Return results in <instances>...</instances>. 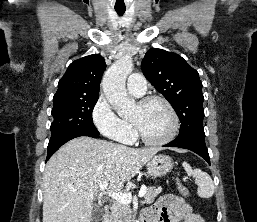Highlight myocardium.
<instances>
[{
    "label": "myocardium",
    "mask_w": 257,
    "mask_h": 222,
    "mask_svg": "<svg viewBox=\"0 0 257 222\" xmlns=\"http://www.w3.org/2000/svg\"><path fill=\"white\" fill-rule=\"evenodd\" d=\"M152 102H160L162 103L170 113L171 119H172V127L170 132L163 138L157 139V140H151L146 138L138 129L137 125L131 121L132 126L134 128L135 136L142 141L146 145L150 146H162L170 143L178 134L179 128H180V120L179 116L173 107V105L164 97L158 96V95H152V96H147L143 99H141L138 102V105L143 107L146 106Z\"/></svg>",
    "instance_id": "f54148a6"
}]
</instances>
